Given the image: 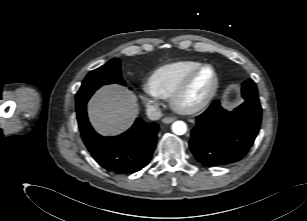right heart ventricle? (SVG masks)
Masks as SVG:
<instances>
[{
  "instance_id": "obj_1",
  "label": "right heart ventricle",
  "mask_w": 307,
  "mask_h": 221,
  "mask_svg": "<svg viewBox=\"0 0 307 221\" xmlns=\"http://www.w3.org/2000/svg\"><path fill=\"white\" fill-rule=\"evenodd\" d=\"M203 64L199 61L186 60L163 65L148 76L146 91L155 98L168 99L181 83Z\"/></svg>"
}]
</instances>
